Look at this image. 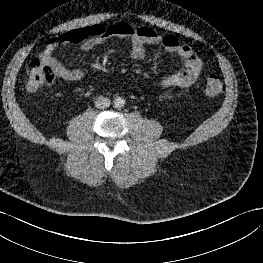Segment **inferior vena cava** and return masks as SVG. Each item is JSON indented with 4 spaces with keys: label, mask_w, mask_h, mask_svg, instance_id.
<instances>
[{
    "label": "inferior vena cava",
    "mask_w": 263,
    "mask_h": 263,
    "mask_svg": "<svg viewBox=\"0 0 263 263\" xmlns=\"http://www.w3.org/2000/svg\"><path fill=\"white\" fill-rule=\"evenodd\" d=\"M95 106L99 109H105L110 106V100L106 97H98L96 98Z\"/></svg>",
    "instance_id": "obj_1"
}]
</instances>
